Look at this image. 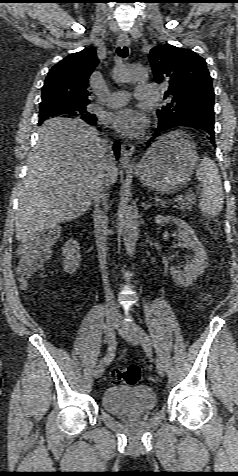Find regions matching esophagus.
Wrapping results in <instances>:
<instances>
[{
    "label": "esophagus",
    "mask_w": 238,
    "mask_h": 476,
    "mask_svg": "<svg viewBox=\"0 0 238 476\" xmlns=\"http://www.w3.org/2000/svg\"><path fill=\"white\" fill-rule=\"evenodd\" d=\"M117 44L120 47L129 46L130 39L126 34H120L117 39ZM135 150L134 145L124 143L121 146L120 162L125 166L132 164V154Z\"/></svg>",
    "instance_id": "obj_1"
}]
</instances>
